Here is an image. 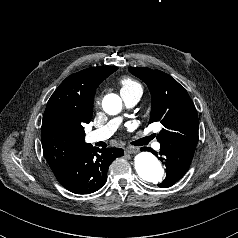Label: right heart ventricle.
Wrapping results in <instances>:
<instances>
[{"instance_id": "1", "label": "right heart ventricle", "mask_w": 238, "mask_h": 238, "mask_svg": "<svg viewBox=\"0 0 238 238\" xmlns=\"http://www.w3.org/2000/svg\"><path fill=\"white\" fill-rule=\"evenodd\" d=\"M120 92L123 93H138L140 96L142 94V86L136 80L123 77L119 80Z\"/></svg>"}]
</instances>
